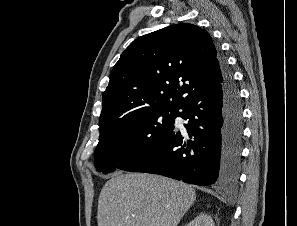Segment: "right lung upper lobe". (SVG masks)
Segmentation results:
<instances>
[{
  "instance_id": "cb5924a9",
  "label": "right lung upper lobe",
  "mask_w": 297,
  "mask_h": 226,
  "mask_svg": "<svg viewBox=\"0 0 297 226\" xmlns=\"http://www.w3.org/2000/svg\"><path fill=\"white\" fill-rule=\"evenodd\" d=\"M220 59L210 35L193 24L136 39L112 70L100 130L149 111H178L188 97L221 82Z\"/></svg>"
}]
</instances>
